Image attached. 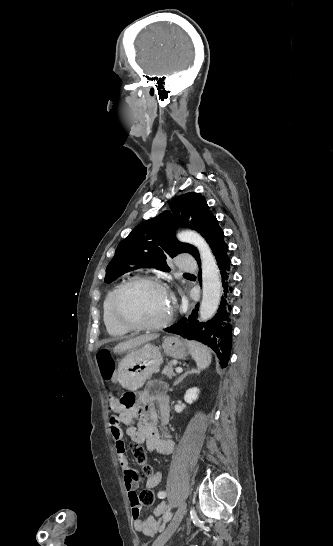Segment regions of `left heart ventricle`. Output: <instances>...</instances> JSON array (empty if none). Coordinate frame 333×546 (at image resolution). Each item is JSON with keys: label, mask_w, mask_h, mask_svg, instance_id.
Listing matches in <instances>:
<instances>
[{"label": "left heart ventricle", "mask_w": 333, "mask_h": 546, "mask_svg": "<svg viewBox=\"0 0 333 546\" xmlns=\"http://www.w3.org/2000/svg\"><path fill=\"white\" fill-rule=\"evenodd\" d=\"M172 307L167 291L152 284H136L122 298V310L131 320L157 323L165 319Z\"/></svg>", "instance_id": "obj_1"}]
</instances>
